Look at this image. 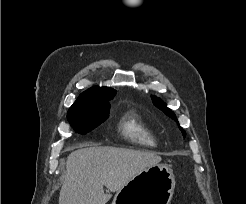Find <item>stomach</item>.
<instances>
[{
  "label": "stomach",
  "instance_id": "0dacf381",
  "mask_svg": "<svg viewBox=\"0 0 246 204\" xmlns=\"http://www.w3.org/2000/svg\"><path fill=\"white\" fill-rule=\"evenodd\" d=\"M174 189L172 171L157 164L132 177L116 193L112 204H169Z\"/></svg>",
  "mask_w": 246,
  "mask_h": 204
}]
</instances>
